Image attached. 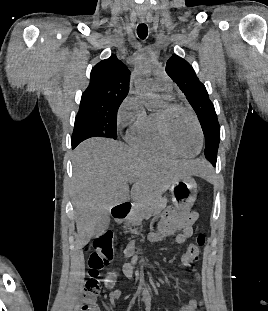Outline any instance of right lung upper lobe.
<instances>
[{
	"instance_id": "cb5924a9",
	"label": "right lung upper lobe",
	"mask_w": 268,
	"mask_h": 311,
	"mask_svg": "<svg viewBox=\"0 0 268 311\" xmlns=\"http://www.w3.org/2000/svg\"><path fill=\"white\" fill-rule=\"evenodd\" d=\"M130 71L115 55L97 63L82 98L122 102L129 91Z\"/></svg>"
}]
</instances>
